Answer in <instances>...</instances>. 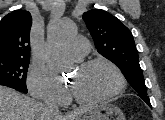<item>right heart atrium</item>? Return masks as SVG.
<instances>
[{
	"mask_svg": "<svg viewBox=\"0 0 165 120\" xmlns=\"http://www.w3.org/2000/svg\"><path fill=\"white\" fill-rule=\"evenodd\" d=\"M30 94L41 101L64 103L68 91L46 69L33 67L27 79Z\"/></svg>",
	"mask_w": 165,
	"mask_h": 120,
	"instance_id": "1",
	"label": "right heart atrium"
}]
</instances>
